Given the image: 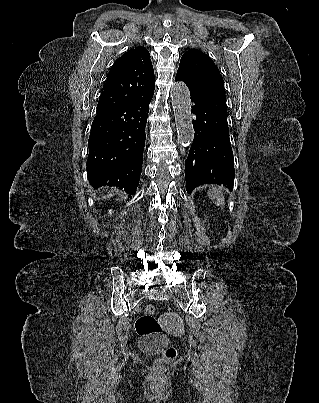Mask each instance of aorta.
Masks as SVG:
<instances>
[{"label":"aorta","instance_id":"aorta-1","mask_svg":"<svg viewBox=\"0 0 319 403\" xmlns=\"http://www.w3.org/2000/svg\"><path fill=\"white\" fill-rule=\"evenodd\" d=\"M170 94L177 129V138L182 146L187 147L194 139L190 92L183 82H175L171 87Z\"/></svg>","mask_w":319,"mask_h":403}]
</instances>
